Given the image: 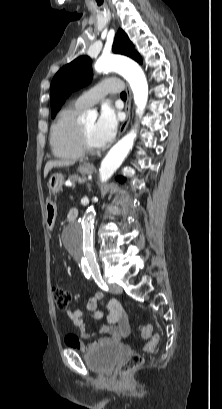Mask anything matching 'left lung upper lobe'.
<instances>
[{
  "label": "left lung upper lobe",
  "mask_w": 222,
  "mask_h": 409,
  "mask_svg": "<svg viewBox=\"0 0 222 409\" xmlns=\"http://www.w3.org/2000/svg\"><path fill=\"white\" fill-rule=\"evenodd\" d=\"M114 53L123 54L142 63L140 55L136 52L133 44L125 32L121 29L115 36L113 48ZM92 60L88 56H81L71 63L63 66L54 76L51 93V116L54 117L65 99L72 91L77 90L90 83L92 76Z\"/></svg>",
  "instance_id": "1"
}]
</instances>
